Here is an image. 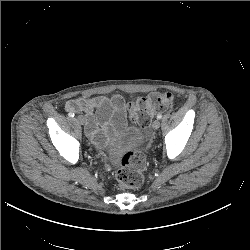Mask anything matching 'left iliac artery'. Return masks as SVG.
<instances>
[{"instance_id":"1","label":"left iliac artery","mask_w":250,"mask_h":250,"mask_svg":"<svg viewBox=\"0 0 250 250\" xmlns=\"http://www.w3.org/2000/svg\"><path fill=\"white\" fill-rule=\"evenodd\" d=\"M161 118H162V115H161V114H158V115H157V119L160 120Z\"/></svg>"}]
</instances>
